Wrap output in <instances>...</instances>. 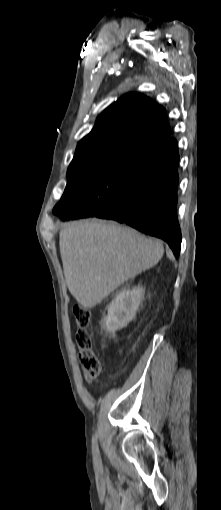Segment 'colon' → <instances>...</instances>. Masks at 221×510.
<instances>
[{
	"instance_id": "5ec220e1",
	"label": "colon",
	"mask_w": 221,
	"mask_h": 510,
	"mask_svg": "<svg viewBox=\"0 0 221 510\" xmlns=\"http://www.w3.org/2000/svg\"><path fill=\"white\" fill-rule=\"evenodd\" d=\"M74 315L79 330L76 333V342L79 348L78 359L86 381L96 379L102 370V363L95 353L94 340L87 330L91 323L92 312L89 307L74 306Z\"/></svg>"
}]
</instances>
